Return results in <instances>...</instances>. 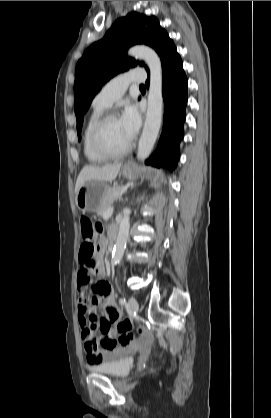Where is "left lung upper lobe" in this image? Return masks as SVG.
I'll return each instance as SVG.
<instances>
[{
  "instance_id": "1",
  "label": "left lung upper lobe",
  "mask_w": 271,
  "mask_h": 418,
  "mask_svg": "<svg viewBox=\"0 0 271 418\" xmlns=\"http://www.w3.org/2000/svg\"><path fill=\"white\" fill-rule=\"evenodd\" d=\"M168 38L155 16L132 12L116 20L104 38L85 51L77 63L74 82V109L79 138L84 114L102 85L119 72L137 65L134 59L125 55L127 49L134 44H146L160 55ZM140 65H144L143 62ZM145 68L148 70V67Z\"/></svg>"
}]
</instances>
